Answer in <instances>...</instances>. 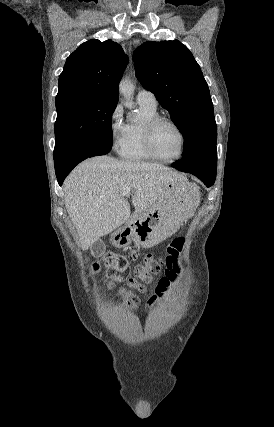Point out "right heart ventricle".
<instances>
[{
    "mask_svg": "<svg viewBox=\"0 0 274 427\" xmlns=\"http://www.w3.org/2000/svg\"><path fill=\"white\" fill-rule=\"evenodd\" d=\"M139 118L130 120L125 125L124 135L118 148L121 159L130 162L155 161L146 151L143 140L145 125L148 121L158 116L157 109L139 107Z\"/></svg>",
    "mask_w": 274,
    "mask_h": 427,
    "instance_id": "right-heart-ventricle-1",
    "label": "right heart ventricle"
}]
</instances>
